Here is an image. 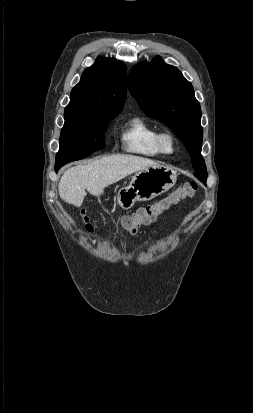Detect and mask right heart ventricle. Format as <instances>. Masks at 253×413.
I'll list each match as a JSON object with an SVG mask.
<instances>
[{"label":"right heart ventricle","mask_w":253,"mask_h":413,"mask_svg":"<svg viewBox=\"0 0 253 413\" xmlns=\"http://www.w3.org/2000/svg\"><path fill=\"white\" fill-rule=\"evenodd\" d=\"M158 128L143 117H133L121 129L120 142L126 152L146 157L161 154L157 145Z\"/></svg>","instance_id":"right-heart-ventricle-1"}]
</instances>
